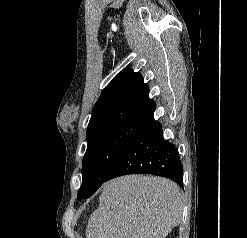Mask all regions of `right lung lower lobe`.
I'll use <instances>...</instances> for the list:
<instances>
[{"mask_svg": "<svg viewBox=\"0 0 247 238\" xmlns=\"http://www.w3.org/2000/svg\"><path fill=\"white\" fill-rule=\"evenodd\" d=\"M152 174L182 186V164L175 146L163 138L160 123L150 119L110 169L106 181L127 174Z\"/></svg>", "mask_w": 247, "mask_h": 238, "instance_id": "98d812e1", "label": "right lung lower lobe"}]
</instances>
